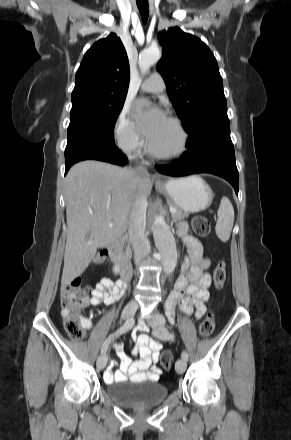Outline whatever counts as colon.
I'll return each mask as SVG.
<instances>
[{
  "label": "colon",
  "instance_id": "5ec220e1",
  "mask_svg": "<svg viewBox=\"0 0 291 440\" xmlns=\"http://www.w3.org/2000/svg\"><path fill=\"white\" fill-rule=\"evenodd\" d=\"M193 231L200 236L207 235L210 231V224L206 217L198 215L192 221ZM215 280L218 286H222L225 280L224 264L220 262L215 271ZM94 290L87 285L82 279H78L69 285L61 288V315L63 317V326L69 337L73 340H80L84 336L83 327L79 322V318L83 312L89 307L91 295ZM214 319L212 314L200 325V335L206 337L214 330ZM173 356L170 351L163 352L161 363L165 369L172 366Z\"/></svg>",
  "mask_w": 291,
  "mask_h": 440
}]
</instances>
